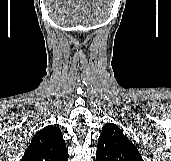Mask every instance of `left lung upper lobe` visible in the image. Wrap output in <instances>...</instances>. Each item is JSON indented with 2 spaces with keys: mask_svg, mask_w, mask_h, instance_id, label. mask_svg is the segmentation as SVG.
<instances>
[{
  "mask_svg": "<svg viewBox=\"0 0 171 161\" xmlns=\"http://www.w3.org/2000/svg\"><path fill=\"white\" fill-rule=\"evenodd\" d=\"M96 161H143L135 145L118 126L107 123L98 139Z\"/></svg>",
  "mask_w": 171,
  "mask_h": 161,
  "instance_id": "left-lung-upper-lobe-1",
  "label": "left lung upper lobe"
}]
</instances>
